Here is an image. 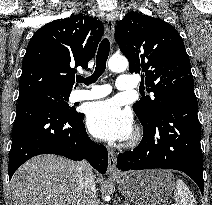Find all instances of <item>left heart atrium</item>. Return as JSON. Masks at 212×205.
<instances>
[{"instance_id":"obj_1","label":"left heart atrium","mask_w":212,"mask_h":205,"mask_svg":"<svg viewBox=\"0 0 212 205\" xmlns=\"http://www.w3.org/2000/svg\"><path fill=\"white\" fill-rule=\"evenodd\" d=\"M86 122L90 133L104 140L127 139L133 129L131 113L123 109L114 99L91 104L87 111Z\"/></svg>"}]
</instances>
